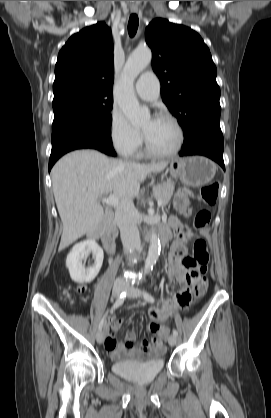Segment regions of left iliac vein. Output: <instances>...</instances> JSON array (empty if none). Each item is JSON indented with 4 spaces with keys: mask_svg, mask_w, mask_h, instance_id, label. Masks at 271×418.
<instances>
[{
    "mask_svg": "<svg viewBox=\"0 0 271 418\" xmlns=\"http://www.w3.org/2000/svg\"><path fill=\"white\" fill-rule=\"evenodd\" d=\"M126 290L128 291L129 297L137 298V297H140L141 296V291L139 289L133 287V286H126ZM168 343L171 346L176 345V343H177V337L175 335L171 334L168 337Z\"/></svg>",
    "mask_w": 271,
    "mask_h": 418,
    "instance_id": "left-iliac-vein-1",
    "label": "left iliac vein"
}]
</instances>
